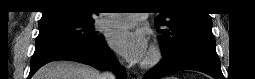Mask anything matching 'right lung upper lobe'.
I'll use <instances>...</instances> for the list:
<instances>
[{
  "instance_id": "1",
  "label": "right lung upper lobe",
  "mask_w": 255,
  "mask_h": 79,
  "mask_svg": "<svg viewBox=\"0 0 255 79\" xmlns=\"http://www.w3.org/2000/svg\"><path fill=\"white\" fill-rule=\"evenodd\" d=\"M95 7L92 0H48L42 12V18L75 17L85 21H94L92 13Z\"/></svg>"
}]
</instances>
